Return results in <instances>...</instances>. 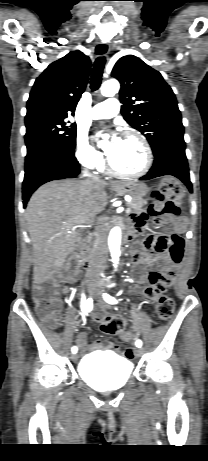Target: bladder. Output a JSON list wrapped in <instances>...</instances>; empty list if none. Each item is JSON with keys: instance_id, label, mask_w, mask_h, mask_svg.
Here are the masks:
<instances>
[{"instance_id": "1", "label": "bladder", "mask_w": 208, "mask_h": 461, "mask_svg": "<svg viewBox=\"0 0 208 461\" xmlns=\"http://www.w3.org/2000/svg\"><path fill=\"white\" fill-rule=\"evenodd\" d=\"M79 375L90 387L99 391L116 390L131 377L132 363L108 352L85 356L79 363Z\"/></svg>"}]
</instances>
